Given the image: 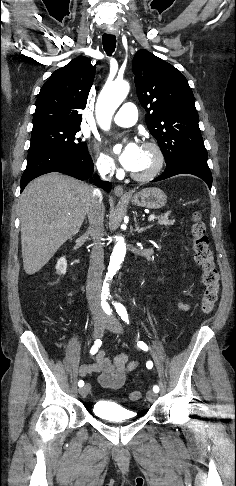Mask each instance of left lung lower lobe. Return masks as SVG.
<instances>
[{
    "label": "left lung lower lobe",
    "instance_id": "left-lung-lower-lobe-1",
    "mask_svg": "<svg viewBox=\"0 0 236 486\" xmlns=\"http://www.w3.org/2000/svg\"><path fill=\"white\" fill-rule=\"evenodd\" d=\"M177 174H192L203 179L209 189L212 186V174L206 161L182 159L168 164L165 171L153 181H160Z\"/></svg>",
    "mask_w": 236,
    "mask_h": 486
}]
</instances>
